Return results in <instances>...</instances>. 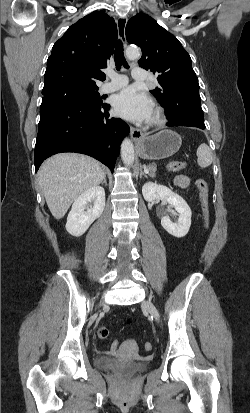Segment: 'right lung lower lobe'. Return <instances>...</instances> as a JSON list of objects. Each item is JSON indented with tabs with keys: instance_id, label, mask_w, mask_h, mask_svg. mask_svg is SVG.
I'll use <instances>...</instances> for the list:
<instances>
[{
	"instance_id": "1",
	"label": "right lung lower lobe",
	"mask_w": 250,
	"mask_h": 413,
	"mask_svg": "<svg viewBox=\"0 0 250 413\" xmlns=\"http://www.w3.org/2000/svg\"><path fill=\"white\" fill-rule=\"evenodd\" d=\"M110 105L76 100H50L40 106V122L34 151L35 171L51 155L76 152L89 155L112 172L120 144L129 126L109 116Z\"/></svg>"
}]
</instances>
